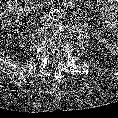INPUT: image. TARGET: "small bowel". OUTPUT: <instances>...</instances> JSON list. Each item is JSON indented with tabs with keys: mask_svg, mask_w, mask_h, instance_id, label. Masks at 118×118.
<instances>
[{
	"mask_svg": "<svg viewBox=\"0 0 118 118\" xmlns=\"http://www.w3.org/2000/svg\"><path fill=\"white\" fill-rule=\"evenodd\" d=\"M98 4L102 7V18L100 24L106 29L111 30L117 24V17L114 12L118 11V0H98ZM118 45L114 43V46Z\"/></svg>",
	"mask_w": 118,
	"mask_h": 118,
	"instance_id": "small-bowel-1",
	"label": "small bowel"
}]
</instances>
